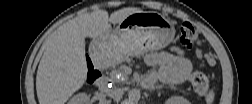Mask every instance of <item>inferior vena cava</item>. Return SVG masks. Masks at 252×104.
<instances>
[{
  "mask_svg": "<svg viewBox=\"0 0 252 104\" xmlns=\"http://www.w3.org/2000/svg\"><path fill=\"white\" fill-rule=\"evenodd\" d=\"M123 91L121 89H114L111 90L109 93V96L114 99L115 101H118L122 98Z\"/></svg>",
  "mask_w": 252,
  "mask_h": 104,
  "instance_id": "inferior-vena-cava-1",
  "label": "inferior vena cava"
}]
</instances>
